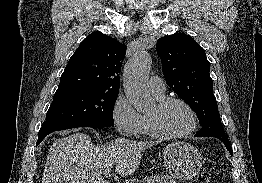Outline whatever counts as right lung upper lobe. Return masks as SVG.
Masks as SVG:
<instances>
[{
	"label": "right lung upper lobe",
	"instance_id": "obj_1",
	"mask_svg": "<svg viewBox=\"0 0 262 183\" xmlns=\"http://www.w3.org/2000/svg\"><path fill=\"white\" fill-rule=\"evenodd\" d=\"M126 45L101 32L86 37L71 56L56 93L96 89L119 92Z\"/></svg>",
	"mask_w": 262,
	"mask_h": 183
}]
</instances>
